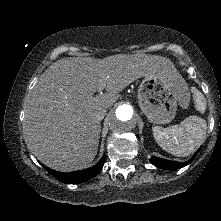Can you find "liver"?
I'll return each instance as SVG.
<instances>
[{
    "label": "liver",
    "instance_id": "obj_1",
    "mask_svg": "<svg viewBox=\"0 0 221 221\" xmlns=\"http://www.w3.org/2000/svg\"><path fill=\"white\" fill-rule=\"evenodd\" d=\"M174 70L169 59L148 54L57 60L40 76L25 101L23 134L27 146L54 170L88 167L99 145L97 113L111 107L135 80ZM102 83L106 93L94 96Z\"/></svg>",
    "mask_w": 221,
    "mask_h": 221
}]
</instances>
